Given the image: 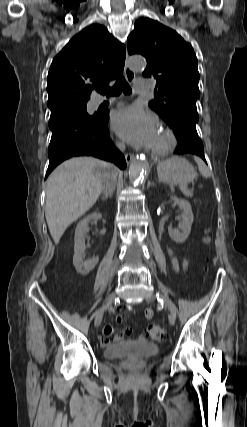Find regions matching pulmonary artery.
<instances>
[{"mask_svg": "<svg viewBox=\"0 0 247 427\" xmlns=\"http://www.w3.org/2000/svg\"><path fill=\"white\" fill-rule=\"evenodd\" d=\"M149 89H150V83L148 81L141 80L136 82L135 84V91L137 93H143L148 91Z\"/></svg>", "mask_w": 247, "mask_h": 427, "instance_id": "e3ab8cb5", "label": "pulmonary artery"}]
</instances>
